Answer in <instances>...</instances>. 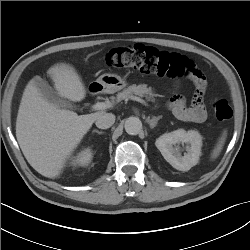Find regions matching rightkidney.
Returning a JSON list of instances; mask_svg holds the SVG:
<instances>
[{
	"label": "right kidney",
	"instance_id": "obj_1",
	"mask_svg": "<svg viewBox=\"0 0 250 250\" xmlns=\"http://www.w3.org/2000/svg\"><path fill=\"white\" fill-rule=\"evenodd\" d=\"M92 159V153L89 148L82 150L78 155L72 160L73 166H87Z\"/></svg>",
	"mask_w": 250,
	"mask_h": 250
}]
</instances>
